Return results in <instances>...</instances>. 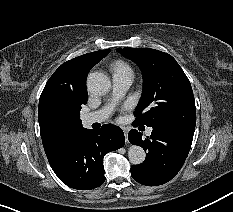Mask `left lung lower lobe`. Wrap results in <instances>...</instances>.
<instances>
[{
  "instance_id": "1",
  "label": "left lung lower lobe",
  "mask_w": 233,
  "mask_h": 212,
  "mask_svg": "<svg viewBox=\"0 0 233 212\" xmlns=\"http://www.w3.org/2000/svg\"><path fill=\"white\" fill-rule=\"evenodd\" d=\"M194 129L160 125L153 127L150 137L142 139V134L131 130L129 141L147 151L142 164L131 166L135 181L147 186H157L171 180L181 169L189 153Z\"/></svg>"
}]
</instances>
